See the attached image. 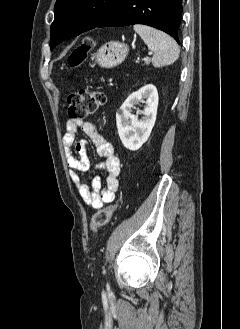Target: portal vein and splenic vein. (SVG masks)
<instances>
[{
  "mask_svg": "<svg viewBox=\"0 0 240 329\" xmlns=\"http://www.w3.org/2000/svg\"><path fill=\"white\" fill-rule=\"evenodd\" d=\"M152 53H149V55H151ZM144 61H148L147 58H144Z\"/></svg>",
  "mask_w": 240,
  "mask_h": 329,
  "instance_id": "obj_1",
  "label": "portal vein and splenic vein"
}]
</instances>
